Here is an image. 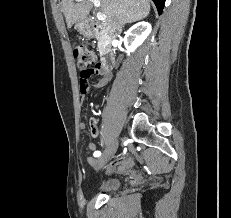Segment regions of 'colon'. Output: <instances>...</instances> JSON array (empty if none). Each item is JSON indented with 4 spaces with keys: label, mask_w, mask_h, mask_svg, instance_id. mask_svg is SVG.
<instances>
[{
    "label": "colon",
    "mask_w": 231,
    "mask_h": 218,
    "mask_svg": "<svg viewBox=\"0 0 231 218\" xmlns=\"http://www.w3.org/2000/svg\"><path fill=\"white\" fill-rule=\"evenodd\" d=\"M73 55L79 69H89V66L98 63L96 52L83 44L78 43L73 46Z\"/></svg>",
    "instance_id": "5ec220e1"
}]
</instances>
